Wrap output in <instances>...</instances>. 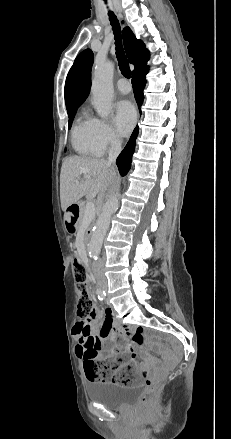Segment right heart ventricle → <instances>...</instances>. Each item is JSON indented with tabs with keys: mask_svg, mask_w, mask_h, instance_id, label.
I'll list each match as a JSON object with an SVG mask.
<instances>
[{
	"mask_svg": "<svg viewBox=\"0 0 231 439\" xmlns=\"http://www.w3.org/2000/svg\"><path fill=\"white\" fill-rule=\"evenodd\" d=\"M72 146L83 156H97L101 152L93 139V120L86 111H82L72 129Z\"/></svg>",
	"mask_w": 231,
	"mask_h": 439,
	"instance_id": "right-heart-ventricle-1",
	"label": "right heart ventricle"
}]
</instances>
